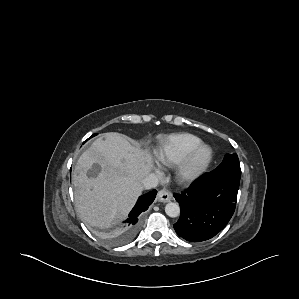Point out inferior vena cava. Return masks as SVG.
<instances>
[{"label":"inferior vena cava","mask_w":299,"mask_h":299,"mask_svg":"<svg viewBox=\"0 0 299 299\" xmlns=\"http://www.w3.org/2000/svg\"><path fill=\"white\" fill-rule=\"evenodd\" d=\"M142 183L146 189H151L157 187V185L159 184V179L157 175L151 173L143 179Z\"/></svg>","instance_id":"inferior-vena-cava-1"}]
</instances>
